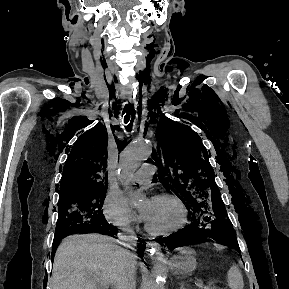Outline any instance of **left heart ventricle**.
I'll return each mask as SVG.
<instances>
[{
    "label": "left heart ventricle",
    "instance_id": "b2bd125f",
    "mask_svg": "<svg viewBox=\"0 0 289 289\" xmlns=\"http://www.w3.org/2000/svg\"><path fill=\"white\" fill-rule=\"evenodd\" d=\"M145 221L154 230H167L181 223L182 211L180 207L171 200L154 199L149 216Z\"/></svg>",
    "mask_w": 289,
    "mask_h": 289
}]
</instances>
